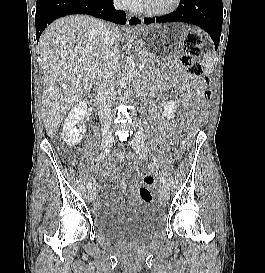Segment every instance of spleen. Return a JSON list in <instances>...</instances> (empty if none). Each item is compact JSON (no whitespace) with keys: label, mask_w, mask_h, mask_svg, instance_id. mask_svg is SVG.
Instances as JSON below:
<instances>
[{"label":"spleen","mask_w":265,"mask_h":273,"mask_svg":"<svg viewBox=\"0 0 265 273\" xmlns=\"http://www.w3.org/2000/svg\"><path fill=\"white\" fill-rule=\"evenodd\" d=\"M206 63H205V67H206V72L209 73L212 70V64L210 63L211 61V56L206 54L204 57Z\"/></svg>","instance_id":"spleen-1"}]
</instances>
